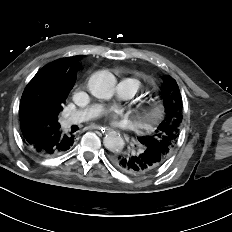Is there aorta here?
<instances>
[{
    "label": "aorta",
    "instance_id": "obj_1",
    "mask_svg": "<svg viewBox=\"0 0 232 232\" xmlns=\"http://www.w3.org/2000/svg\"><path fill=\"white\" fill-rule=\"evenodd\" d=\"M115 84L114 75L107 71L93 74L88 82L92 95L100 99H110L114 94ZM103 144L109 151L117 152L124 147V140L116 132H109L104 137Z\"/></svg>",
    "mask_w": 232,
    "mask_h": 232
}]
</instances>
